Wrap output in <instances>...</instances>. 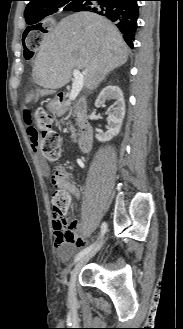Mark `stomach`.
<instances>
[{
	"instance_id": "obj_1",
	"label": "stomach",
	"mask_w": 183,
	"mask_h": 329,
	"mask_svg": "<svg viewBox=\"0 0 183 329\" xmlns=\"http://www.w3.org/2000/svg\"><path fill=\"white\" fill-rule=\"evenodd\" d=\"M48 110L52 113H59L61 111V104L58 99H54L48 103Z\"/></svg>"
}]
</instances>
